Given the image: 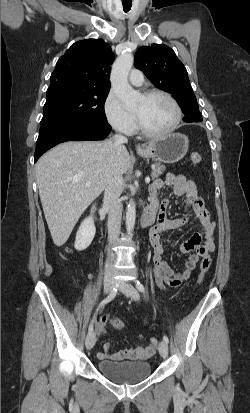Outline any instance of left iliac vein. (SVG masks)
Listing matches in <instances>:
<instances>
[{
    "label": "left iliac vein",
    "mask_w": 250,
    "mask_h": 413,
    "mask_svg": "<svg viewBox=\"0 0 250 413\" xmlns=\"http://www.w3.org/2000/svg\"><path fill=\"white\" fill-rule=\"evenodd\" d=\"M119 291L122 292L125 296L130 297L134 300L139 299V293L136 288L131 285L129 282L120 281L119 282ZM159 353L163 358L168 356V345L165 341H162L159 345Z\"/></svg>",
    "instance_id": "obj_1"
}]
</instances>
